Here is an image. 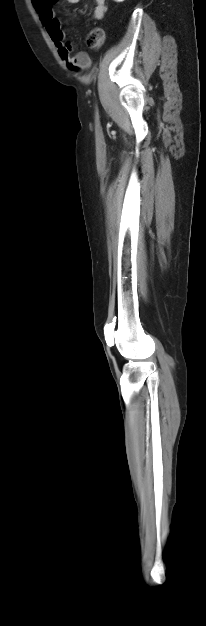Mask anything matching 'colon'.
Returning a JSON list of instances; mask_svg holds the SVG:
<instances>
[{
  "label": "colon",
  "instance_id": "obj_1",
  "mask_svg": "<svg viewBox=\"0 0 206 626\" xmlns=\"http://www.w3.org/2000/svg\"><path fill=\"white\" fill-rule=\"evenodd\" d=\"M105 33L102 28H94L87 37V44L91 48H98L104 43Z\"/></svg>",
  "mask_w": 206,
  "mask_h": 626
}]
</instances>
